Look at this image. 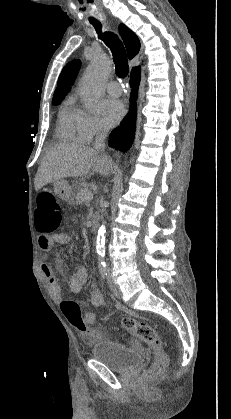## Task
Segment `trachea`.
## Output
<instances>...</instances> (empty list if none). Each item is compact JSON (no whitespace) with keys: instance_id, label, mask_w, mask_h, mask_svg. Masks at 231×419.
Here are the masks:
<instances>
[{"instance_id":"trachea-1","label":"trachea","mask_w":231,"mask_h":419,"mask_svg":"<svg viewBox=\"0 0 231 419\" xmlns=\"http://www.w3.org/2000/svg\"><path fill=\"white\" fill-rule=\"evenodd\" d=\"M91 23L96 29L99 39H101L110 48L113 54V60L115 63V70L117 76L120 78H126L129 73L127 54L118 36L112 32L102 33V26L100 22Z\"/></svg>"}]
</instances>
